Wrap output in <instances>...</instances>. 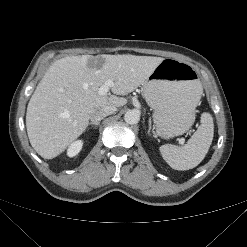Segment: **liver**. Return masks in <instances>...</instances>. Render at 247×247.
<instances>
[{
  "label": "liver",
  "mask_w": 247,
  "mask_h": 247,
  "mask_svg": "<svg viewBox=\"0 0 247 247\" xmlns=\"http://www.w3.org/2000/svg\"><path fill=\"white\" fill-rule=\"evenodd\" d=\"M164 60L135 55H80L56 60L37 85L27 106L26 128L31 146L44 159H53L89 125L95 110L122 107L127 95L142 85ZM112 80L111 94L100 95Z\"/></svg>",
  "instance_id": "liver-1"
}]
</instances>
